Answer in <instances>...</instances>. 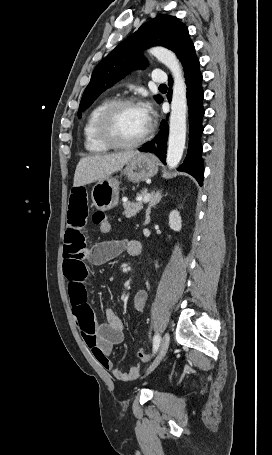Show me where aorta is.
Masks as SVG:
<instances>
[{
    "mask_svg": "<svg viewBox=\"0 0 272 455\" xmlns=\"http://www.w3.org/2000/svg\"><path fill=\"white\" fill-rule=\"evenodd\" d=\"M149 52L171 71L174 80L166 157L168 167L173 169L181 161L186 141L187 90L184 73L172 51L153 47Z\"/></svg>",
    "mask_w": 272,
    "mask_h": 455,
    "instance_id": "762f6f07",
    "label": "aorta"
}]
</instances>
